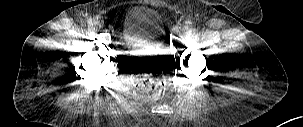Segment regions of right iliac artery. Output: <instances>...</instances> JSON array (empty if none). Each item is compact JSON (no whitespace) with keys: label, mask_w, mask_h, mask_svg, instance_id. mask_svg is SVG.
<instances>
[{"label":"right iliac artery","mask_w":303,"mask_h":127,"mask_svg":"<svg viewBox=\"0 0 303 127\" xmlns=\"http://www.w3.org/2000/svg\"><path fill=\"white\" fill-rule=\"evenodd\" d=\"M96 20L95 19H89L88 20V24H90V25H94V24H96Z\"/></svg>","instance_id":"obj_1"}]
</instances>
